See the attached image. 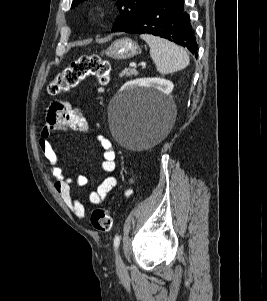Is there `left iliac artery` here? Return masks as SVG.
I'll use <instances>...</instances> for the list:
<instances>
[{"label":"left iliac artery","mask_w":267,"mask_h":301,"mask_svg":"<svg viewBox=\"0 0 267 301\" xmlns=\"http://www.w3.org/2000/svg\"><path fill=\"white\" fill-rule=\"evenodd\" d=\"M120 240H121V236H119V235L115 236L114 242H113V245L115 248H118V246L120 244Z\"/></svg>","instance_id":"obj_1"}]
</instances>
